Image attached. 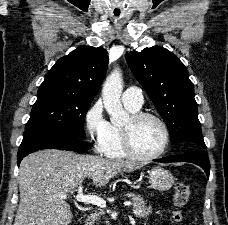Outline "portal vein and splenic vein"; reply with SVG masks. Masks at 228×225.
<instances>
[{"label":"portal vein and splenic vein","instance_id":"portal-vein-and-splenic-vein-1","mask_svg":"<svg viewBox=\"0 0 228 225\" xmlns=\"http://www.w3.org/2000/svg\"><path fill=\"white\" fill-rule=\"evenodd\" d=\"M76 197H74L75 201H80V203H92V205H97L100 209H105L106 201L101 199V197H90V195H84L83 185L79 184L76 189ZM60 199H70L68 195H59ZM125 207H129L131 203H124Z\"/></svg>","mask_w":228,"mask_h":225}]
</instances>
